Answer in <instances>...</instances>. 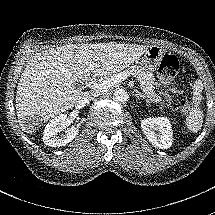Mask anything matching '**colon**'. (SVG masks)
<instances>
[{"instance_id": "5ec220e1", "label": "colon", "mask_w": 215, "mask_h": 215, "mask_svg": "<svg viewBox=\"0 0 215 215\" xmlns=\"http://www.w3.org/2000/svg\"><path fill=\"white\" fill-rule=\"evenodd\" d=\"M179 67V59L175 55L168 54L164 56L158 69L159 86H168L177 77ZM164 96L171 108L184 113H189L192 110V104L183 92L176 89H168L164 92Z\"/></svg>"}]
</instances>
